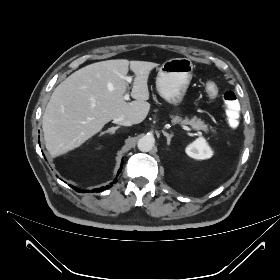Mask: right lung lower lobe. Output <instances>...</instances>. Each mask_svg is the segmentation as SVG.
I'll list each match as a JSON object with an SVG mask.
<instances>
[{
	"mask_svg": "<svg viewBox=\"0 0 280 280\" xmlns=\"http://www.w3.org/2000/svg\"><path fill=\"white\" fill-rule=\"evenodd\" d=\"M122 166H123V160H122V162H121V167L119 168V170H118V174L120 173V171H121V169H122ZM110 186H112V183H110V185H107L105 188L104 187H101V188H98V189H94V190H92V192H94V191H96V192H101V191H103L104 189H108V188H110ZM73 189H75L76 191H78V192H83V193H85V191L84 190H78L77 188H75V187H73V186H71Z\"/></svg>",
	"mask_w": 280,
	"mask_h": 280,
	"instance_id": "1",
	"label": "right lung lower lobe"
}]
</instances>
